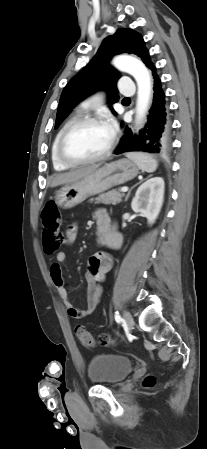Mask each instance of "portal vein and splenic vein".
<instances>
[{"label": "portal vein and splenic vein", "instance_id": "portal-vein-and-splenic-vein-1", "mask_svg": "<svg viewBox=\"0 0 207 449\" xmlns=\"http://www.w3.org/2000/svg\"><path fill=\"white\" fill-rule=\"evenodd\" d=\"M128 191V187H123L122 189H121V192H127Z\"/></svg>", "mask_w": 207, "mask_h": 449}]
</instances>
